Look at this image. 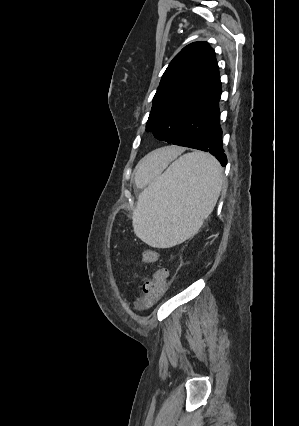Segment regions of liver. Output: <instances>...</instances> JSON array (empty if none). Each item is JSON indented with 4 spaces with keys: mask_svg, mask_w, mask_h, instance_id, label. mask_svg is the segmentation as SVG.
<instances>
[{
    "mask_svg": "<svg viewBox=\"0 0 299 426\" xmlns=\"http://www.w3.org/2000/svg\"><path fill=\"white\" fill-rule=\"evenodd\" d=\"M175 153L173 147H166L152 151L147 154L137 165L136 175L141 176L147 174L155 166L169 160Z\"/></svg>",
    "mask_w": 299,
    "mask_h": 426,
    "instance_id": "1",
    "label": "liver"
}]
</instances>
